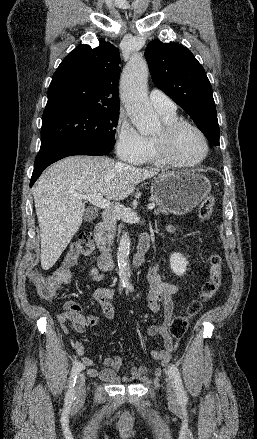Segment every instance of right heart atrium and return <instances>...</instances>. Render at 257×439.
Returning a JSON list of instances; mask_svg holds the SVG:
<instances>
[{"mask_svg":"<svg viewBox=\"0 0 257 439\" xmlns=\"http://www.w3.org/2000/svg\"><path fill=\"white\" fill-rule=\"evenodd\" d=\"M115 148L117 155L124 161L136 163L146 152V138L125 116L120 115L115 130Z\"/></svg>","mask_w":257,"mask_h":439,"instance_id":"d8ad5b80","label":"right heart atrium"}]
</instances>
